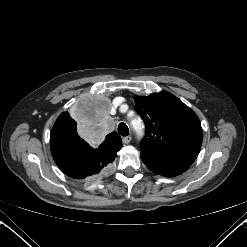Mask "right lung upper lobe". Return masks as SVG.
<instances>
[{
	"label": "right lung upper lobe",
	"instance_id": "cb5924a9",
	"mask_svg": "<svg viewBox=\"0 0 247 247\" xmlns=\"http://www.w3.org/2000/svg\"><path fill=\"white\" fill-rule=\"evenodd\" d=\"M70 118H69V113L68 112H63L58 119L56 120L53 129H62L63 124H69ZM62 130H67L71 132H76V127H69L65 128ZM102 147L107 146V147H112L113 150L119 151L122 147L121 143V138L120 136L114 131L110 134H108L103 141V143L100 144Z\"/></svg>",
	"mask_w": 247,
	"mask_h": 247
}]
</instances>
